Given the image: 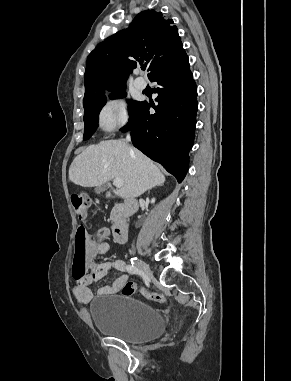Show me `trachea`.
<instances>
[{
    "instance_id": "trachea-1",
    "label": "trachea",
    "mask_w": 291,
    "mask_h": 381,
    "mask_svg": "<svg viewBox=\"0 0 291 381\" xmlns=\"http://www.w3.org/2000/svg\"><path fill=\"white\" fill-rule=\"evenodd\" d=\"M141 69H142V70H145V66H141Z\"/></svg>"
}]
</instances>
